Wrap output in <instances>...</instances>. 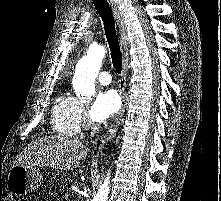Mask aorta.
Masks as SVG:
<instances>
[{
    "label": "aorta",
    "instance_id": "aorta-1",
    "mask_svg": "<svg viewBox=\"0 0 221 201\" xmlns=\"http://www.w3.org/2000/svg\"><path fill=\"white\" fill-rule=\"evenodd\" d=\"M105 53L106 49L103 46H92L89 48L87 56L80 61L72 81L75 93L79 97L89 98L94 94V82L99 73ZM109 191L110 174L108 172L92 201H107Z\"/></svg>",
    "mask_w": 221,
    "mask_h": 201
}]
</instances>
